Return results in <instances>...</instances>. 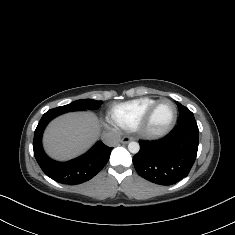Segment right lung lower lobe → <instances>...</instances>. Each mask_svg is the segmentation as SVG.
Segmentation results:
<instances>
[{
  "instance_id": "1",
  "label": "right lung lower lobe",
  "mask_w": 235,
  "mask_h": 235,
  "mask_svg": "<svg viewBox=\"0 0 235 235\" xmlns=\"http://www.w3.org/2000/svg\"><path fill=\"white\" fill-rule=\"evenodd\" d=\"M58 115L51 109L39 121L33 140L34 156L42 171L51 179L71 185L84 183L105 166L112 148L98 141L87 153L74 160L57 162L50 159L42 148V134L46 125Z\"/></svg>"
}]
</instances>
